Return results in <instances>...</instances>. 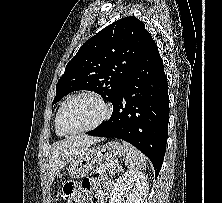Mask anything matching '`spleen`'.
Returning <instances> with one entry per match:
<instances>
[{
    "instance_id": "1",
    "label": "spleen",
    "mask_w": 222,
    "mask_h": 203,
    "mask_svg": "<svg viewBox=\"0 0 222 203\" xmlns=\"http://www.w3.org/2000/svg\"><path fill=\"white\" fill-rule=\"evenodd\" d=\"M126 152L125 164L130 171L144 170L146 167V157L134 146L122 141Z\"/></svg>"
}]
</instances>
